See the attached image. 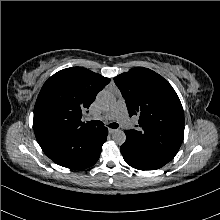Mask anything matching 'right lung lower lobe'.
Returning a JSON list of instances; mask_svg holds the SVG:
<instances>
[{
	"label": "right lung lower lobe",
	"mask_w": 220,
	"mask_h": 220,
	"mask_svg": "<svg viewBox=\"0 0 220 220\" xmlns=\"http://www.w3.org/2000/svg\"><path fill=\"white\" fill-rule=\"evenodd\" d=\"M107 135L106 127H98L92 134L77 139L73 144L75 148L81 150V153L76 157L69 158L63 153L44 152L58 165L75 170L85 169L97 162Z\"/></svg>",
	"instance_id": "right-lung-lower-lobe-1"
}]
</instances>
